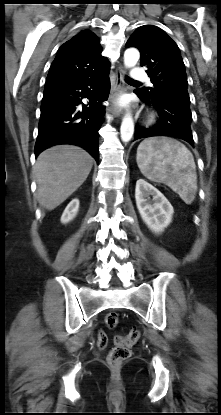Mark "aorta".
Instances as JSON below:
<instances>
[{
	"mask_svg": "<svg viewBox=\"0 0 221 415\" xmlns=\"http://www.w3.org/2000/svg\"><path fill=\"white\" fill-rule=\"evenodd\" d=\"M140 57L139 51L136 48H128L124 53V64L126 67H133L136 65ZM121 139L124 142H128L134 133V122L132 116L127 114L122 121Z\"/></svg>",
	"mask_w": 221,
	"mask_h": 415,
	"instance_id": "762f6f07",
	"label": "aorta"
}]
</instances>
